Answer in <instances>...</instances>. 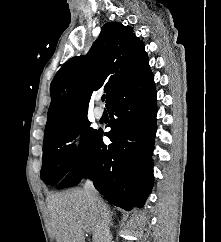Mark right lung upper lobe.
Wrapping results in <instances>:
<instances>
[{
	"instance_id": "right-lung-upper-lobe-1",
	"label": "right lung upper lobe",
	"mask_w": 221,
	"mask_h": 242,
	"mask_svg": "<svg viewBox=\"0 0 221 242\" xmlns=\"http://www.w3.org/2000/svg\"><path fill=\"white\" fill-rule=\"evenodd\" d=\"M149 70L144 43L132 27L104 24L87 55L68 60L52 80L44 139L87 116L93 91L104 88L107 106L123 86Z\"/></svg>"
}]
</instances>
